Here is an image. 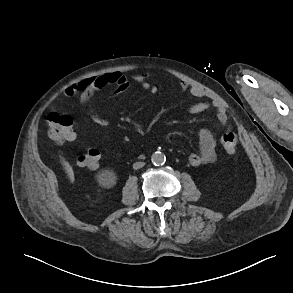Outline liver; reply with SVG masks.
Masks as SVG:
<instances>
[{
  "label": "liver",
  "instance_id": "1",
  "mask_svg": "<svg viewBox=\"0 0 293 293\" xmlns=\"http://www.w3.org/2000/svg\"><path fill=\"white\" fill-rule=\"evenodd\" d=\"M64 168L67 172V175H68L70 181L73 182L74 181V172H73L72 167L70 166V164L68 162H64Z\"/></svg>",
  "mask_w": 293,
  "mask_h": 293
}]
</instances>
